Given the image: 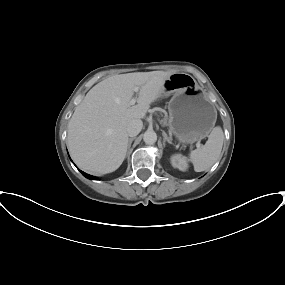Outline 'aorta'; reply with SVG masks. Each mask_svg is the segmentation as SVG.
Masks as SVG:
<instances>
[{"label": "aorta", "mask_w": 285, "mask_h": 285, "mask_svg": "<svg viewBox=\"0 0 285 285\" xmlns=\"http://www.w3.org/2000/svg\"><path fill=\"white\" fill-rule=\"evenodd\" d=\"M143 140L146 144H154L157 141V135L153 130H147L144 133Z\"/></svg>", "instance_id": "1"}]
</instances>
